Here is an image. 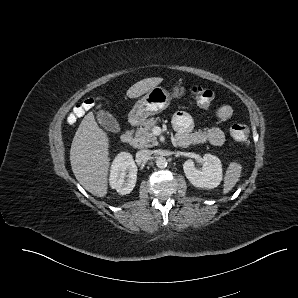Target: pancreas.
<instances>
[{"label": "pancreas", "mask_w": 298, "mask_h": 298, "mask_svg": "<svg viewBox=\"0 0 298 298\" xmlns=\"http://www.w3.org/2000/svg\"><path fill=\"white\" fill-rule=\"evenodd\" d=\"M158 124L157 118L146 119L135 131L131 142L135 148H150L158 145L157 137L153 135L152 128Z\"/></svg>", "instance_id": "cf45deb5"}]
</instances>
